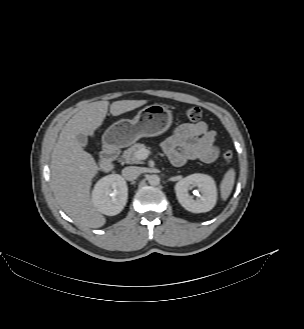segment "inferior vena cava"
<instances>
[{"mask_svg": "<svg viewBox=\"0 0 304 329\" xmlns=\"http://www.w3.org/2000/svg\"><path fill=\"white\" fill-rule=\"evenodd\" d=\"M139 168L136 166H128L122 170V176L128 181L135 180L139 176Z\"/></svg>", "mask_w": 304, "mask_h": 329, "instance_id": "1", "label": "inferior vena cava"}]
</instances>
